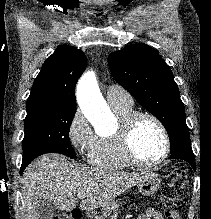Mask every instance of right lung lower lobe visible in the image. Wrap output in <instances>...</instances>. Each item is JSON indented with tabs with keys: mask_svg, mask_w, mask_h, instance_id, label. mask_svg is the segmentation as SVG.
Returning a JSON list of instances; mask_svg holds the SVG:
<instances>
[{
	"mask_svg": "<svg viewBox=\"0 0 211 219\" xmlns=\"http://www.w3.org/2000/svg\"><path fill=\"white\" fill-rule=\"evenodd\" d=\"M32 160H27V161H22V165L20 168V174L23 173L24 169L27 167V165L31 162Z\"/></svg>",
	"mask_w": 211,
	"mask_h": 219,
	"instance_id": "98d812e1",
	"label": "right lung lower lobe"
}]
</instances>
